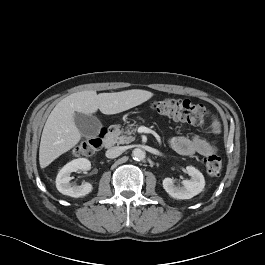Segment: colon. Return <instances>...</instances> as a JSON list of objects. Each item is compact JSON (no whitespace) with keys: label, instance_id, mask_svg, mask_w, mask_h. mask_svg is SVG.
<instances>
[{"label":"colon","instance_id":"5ec220e1","mask_svg":"<svg viewBox=\"0 0 265 265\" xmlns=\"http://www.w3.org/2000/svg\"><path fill=\"white\" fill-rule=\"evenodd\" d=\"M152 109L158 114L187 122L195 126L203 125L208 117L209 111L202 105L193 104L187 100L163 99L154 101ZM106 130H101L97 137L88 139L81 143L75 150L78 156H90L101 146ZM206 171L211 176H217L222 169V159L215 152L210 154L205 161Z\"/></svg>","mask_w":265,"mask_h":265}]
</instances>
